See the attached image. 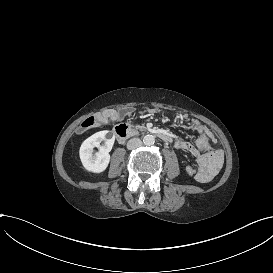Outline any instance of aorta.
Here are the masks:
<instances>
[{"label": "aorta", "mask_w": 273, "mask_h": 273, "mask_svg": "<svg viewBox=\"0 0 273 273\" xmlns=\"http://www.w3.org/2000/svg\"><path fill=\"white\" fill-rule=\"evenodd\" d=\"M143 143L147 146H151L155 143V137L153 135H145L143 137Z\"/></svg>", "instance_id": "aorta-1"}]
</instances>
